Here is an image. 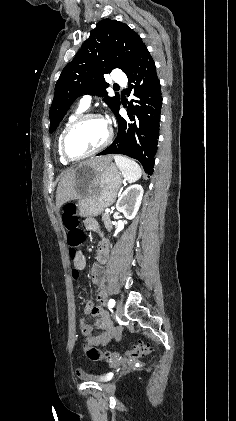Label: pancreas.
Returning <instances> with one entry per match:
<instances>
[{
	"label": "pancreas",
	"instance_id": "cf45deb5",
	"mask_svg": "<svg viewBox=\"0 0 236 421\" xmlns=\"http://www.w3.org/2000/svg\"><path fill=\"white\" fill-rule=\"evenodd\" d=\"M102 221H103L106 229H108V231H111L112 225H111V221H110V217H109L108 213H103Z\"/></svg>",
	"mask_w": 236,
	"mask_h": 421
}]
</instances>
